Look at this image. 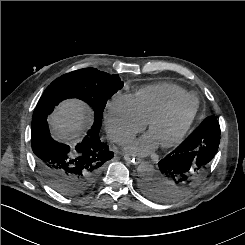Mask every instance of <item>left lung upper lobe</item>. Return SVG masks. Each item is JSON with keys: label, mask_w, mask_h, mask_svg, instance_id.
Returning a JSON list of instances; mask_svg holds the SVG:
<instances>
[{"label": "left lung upper lobe", "mask_w": 245, "mask_h": 245, "mask_svg": "<svg viewBox=\"0 0 245 245\" xmlns=\"http://www.w3.org/2000/svg\"><path fill=\"white\" fill-rule=\"evenodd\" d=\"M210 119H216V116L214 114H211L208 116Z\"/></svg>", "instance_id": "left-lung-upper-lobe-1"}]
</instances>
